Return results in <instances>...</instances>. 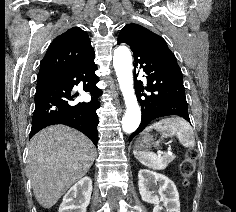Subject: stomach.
<instances>
[{
	"label": "stomach",
	"mask_w": 236,
	"mask_h": 212,
	"mask_svg": "<svg viewBox=\"0 0 236 212\" xmlns=\"http://www.w3.org/2000/svg\"><path fill=\"white\" fill-rule=\"evenodd\" d=\"M152 141H153L152 136H150L148 134H144L141 138H139L136 141V144H135L136 150L135 151H142V150L148 148L151 145Z\"/></svg>",
	"instance_id": "1"
}]
</instances>
